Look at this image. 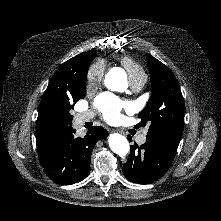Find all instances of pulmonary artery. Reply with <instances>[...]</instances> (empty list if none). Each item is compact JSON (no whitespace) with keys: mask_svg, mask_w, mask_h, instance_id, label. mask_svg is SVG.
<instances>
[{"mask_svg":"<svg viewBox=\"0 0 221 221\" xmlns=\"http://www.w3.org/2000/svg\"><path fill=\"white\" fill-rule=\"evenodd\" d=\"M146 82V77L142 76L130 81V86L134 91H140ZM93 117L92 113H81L77 116L76 121L78 124H83ZM147 131H143L137 138L138 143L143 144L146 142Z\"/></svg>","mask_w":221,"mask_h":221,"instance_id":"1","label":"pulmonary artery"}]
</instances>
